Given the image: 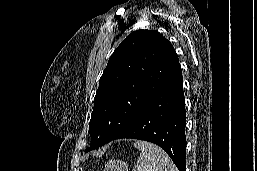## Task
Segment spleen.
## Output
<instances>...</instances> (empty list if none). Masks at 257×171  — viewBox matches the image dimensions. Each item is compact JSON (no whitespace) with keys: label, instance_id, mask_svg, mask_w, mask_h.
<instances>
[{"label":"spleen","instance_id":"1","mask_svg":"<svg viewBox=\"0 0 257 171\" xmlns=\"http://www.w3.org/2000/svg\"><path fill=\"white\" fill-rule=\"evenodd\" d=\"M134 146L141 151L135 171H178L160 147L145 141H136Z\"/></svg>","mask_w":257,"mask_h":171}]
</instances>
